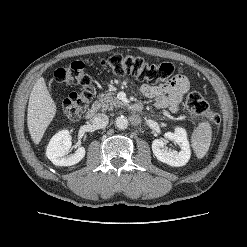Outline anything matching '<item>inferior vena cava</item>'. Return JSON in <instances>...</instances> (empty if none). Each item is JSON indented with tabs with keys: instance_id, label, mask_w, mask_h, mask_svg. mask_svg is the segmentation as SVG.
Instances as JSON below:
<instances>
[{
	"instance_id": "obj_1",
	"label": "inferior vena cava",
	"mask_w": 247,
	"mask_h": 247,
	"mask_svg": "<svg viewBox=\"0 0 247 247\" xmlns=\"http://www.w3.org/2000/svg\"><path fill=\"white\" fill-rule=\"evenodd\" d=\"M108 122L109 118L106 114L98 113L93 117V124L99 129L106 127Z\"/></svg>"
}]
</instances>
